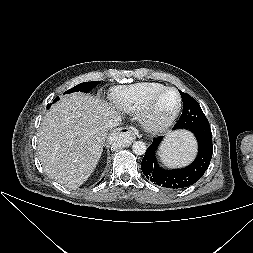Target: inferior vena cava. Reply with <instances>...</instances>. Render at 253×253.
I'll return each instance as SVG.
<instances>
[{
    "label": "inferior vena cava",
    "mask_w": 253,
    "mask_h": 253,
    "mask_svg": "<svg viewBox=\"0 0 253 253\" xmlns=\"http://www.w3.org/2000/svg\"><path fill=\"white\" fill-rule=\"evenodd\" d=\"M122 117L120 115H114L108 122V128H113L121 124Z\"/></svg>",
    "instance_id": "obj_1"
}]
</instances>
